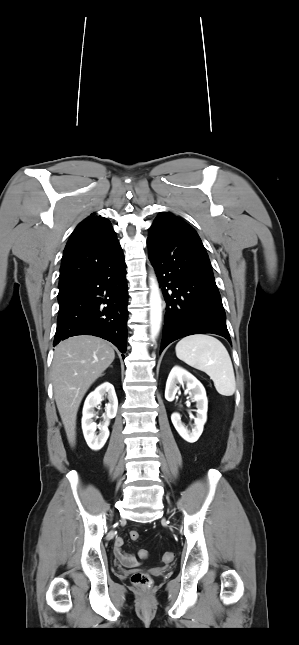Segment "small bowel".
Wrapping results in <instances>:
<instances>
[{"label": "small bowel", "instance_id": "small-bowel-1", "mask_svg": "<svg viewBox=\"0 0 299 645\" xmlns=\"http://www.w3.org/2000/svg\"><path fill=\"white\" fill-rule=\"evenodd\" d=\"M124 539L117 537L114 542V555L116 559L124 566L133 567L138 564V559L135 555L123 551Z\"/></svg>", "mask_w": 299, "mask_h": 645}]
</instances>
